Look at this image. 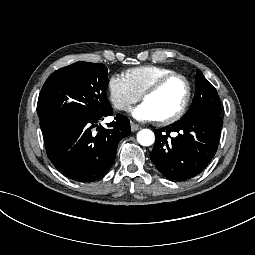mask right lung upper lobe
Instances as JSON below:
<instances>
[{"mask_svg":"<svg viewBox=\"0 0 255 255\" xmlns=\"http://www.w3.org/2000/svg\"><path fill=\"white\" fill-rule=\"evenodd\" d=\"M49 134V131L45 132V136Z\"/></svg>","mask_w":255,"mask_h":255,"instance_id":"cb5924a9","label":"right lung upper lobe"}]
</instances>
